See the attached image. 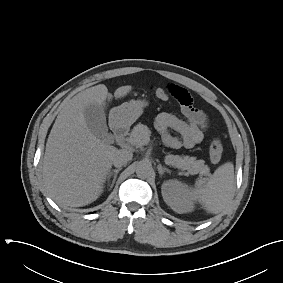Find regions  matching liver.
Segmentation results:
<instances>
[{
    "label": "liver",
    "mask_w": 283,
    "mask_h": 283,
    "mask_svg": "<svg viewBox=\"0 0 283 283\" xmlns=\"http://www.w3.org/2000/svg\"><path fill=\"white\" fill-rule=\"evenodd\" d=\"M131 90L130 85L119 87L114 96L124 97ZM107 99L112 96L99 84L65 101L48 136L43 181L50 196L66 206L88 205L103 192L117 148L89 130L84 110L90 104L104 109Z\"/></svg>",
    "instance_id": "6515ba94"
}]
</instances>
